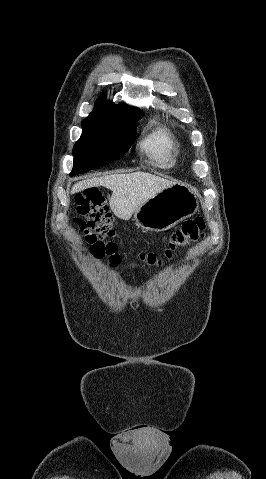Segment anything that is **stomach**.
Returning a JSON list of instances; mask_svg holds the SVG:
<instances>
[{
    "label": "stomach",
    "instance_id": "0dacf381",
    "mask_svg": "<svg viewBox=\"0 0 266 479\" xmlns=\"http://www.w3.org/2000/svg\"><path fill=\"white\" fill-rule=\"evenodd\" d=\"M197 208V191L185 184H174L137 209L134 220L143 230L161 232L190 217Z\"/></svg>",
    "mask_w": 266,
    "mask_h": 479
}]
</instances>
